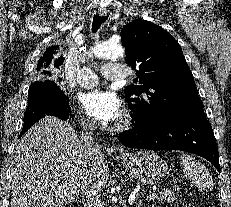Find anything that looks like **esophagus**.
Masks as SVG:
<instances>
[{
    "label": "esophagus",
    "mask_w": 231,
    "mask_h": 207,
    "mask_svg": "<svg viewBox=\"0 0 231 207\" xmlns=\"http://www.w3.org/2000/svg\"><path fill=\"white\" fill-rule=\"evenodd\" d=\"M98 14H99L100 16H107V15H108V11H106V10H101V11L98 12ZM116 150H118V148H116Z\"/></svg>",
    "instance_id": "34e87169"
}]
</instances>
